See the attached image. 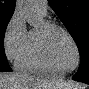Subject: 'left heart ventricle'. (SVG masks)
<instances>
[{"label": "left heart ventricle", "instance_id": "b2bd125f", "mask_svg": "<svg viewBox=\"0 0 89 89\" xmlns=\"http://www.w3.org/2000/svg\"><path fill=\"white\" fill-rule=\"evenodd\" d=\"M50 50L54 64L59 70H68L76 64V52L69 38L60 30L50 38Z\"/></svg>", "mask_w": 89, "mask_h": 89}]
</instances>
